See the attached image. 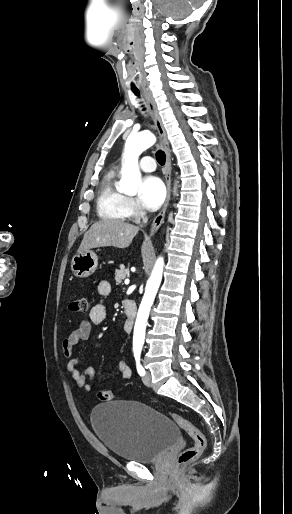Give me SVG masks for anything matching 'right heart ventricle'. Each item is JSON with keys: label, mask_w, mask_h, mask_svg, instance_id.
I'll use <instances>...</instances> for the list:
<instances>
[{"label": "right heart ventricle", "mask_w": 292, "mask_h": 514, "mask_svg": "<svg viewBox=\"0 0 292 514\" xmlns=\"http://www.w3.org/2000/svg\"><path fill=\"white\" fill-rule=\"evenodd\" d=\"M115 178L116 173L108 171L98 186L96 209L101 219L122 220L130 211L128 198L117 189Z\"/></svg>", "instance_id": "right-heart-ventricle-1"}]
</instances>
